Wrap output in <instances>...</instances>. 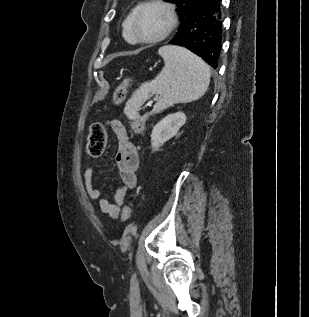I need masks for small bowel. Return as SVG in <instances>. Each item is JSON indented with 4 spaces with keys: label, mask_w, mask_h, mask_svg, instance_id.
Wrapping results in <instances>:
<instances>
[{
    "label": "small bowel",
    "mask_w": 309,
    "mask_h": 317,
    "mask_svg": "<svg viewBox=\"0 0 309 317\" xmlns=\"http://www.w3.org/2000/svg\"><path fill=\"white\" fill-rule=\"evenodd\" d=\"M106 124L113 131L117 140L115 161L118 167L122 185L116 190L113 201L102 197V192L94 182V169L88 167L83 175L84 185L90 198L99 201L100 210L112 219H117L122 213L127 191L137 185V170L139 167V154L135 144L130 139L125 125L117 120L110 119Z\"/></svg>",
    "instance_id": "c3829d8e"
}]
</instances>
